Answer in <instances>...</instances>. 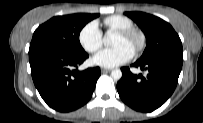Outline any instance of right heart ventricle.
Here are the masks:
<instances>
[{"label":"right heart ventricle","mask_w":203,"mask_h":123,"mask_svg":"<svg viewBox=\"0 0 203 123\" xmlns=\"http://www.w3.org/2000/svg\"><path fill=\"white\" fill-rule=\"evenodd\" d=\"M104 25L109 31H118L133 28V22L122 15H112L104 19Z\"/></svg>","instance_id":"1"}]
</instances>
